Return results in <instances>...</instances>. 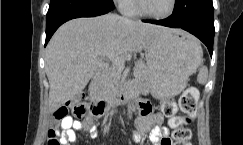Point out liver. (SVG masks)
I'll return each mask as SVG.
<instances>
[{"label":"liver","mask_w":243,"mask_h":145,"mask_svg":"<svg viewBox=\"0 0 243 145\" xmlns=\"http://www.w3.org/2000/svg\"><path fill=\"white\" fill-rule=\"evenodd\" d=\"M171 30L114 14L77 18L63 24L46 48L50 111H56L86 87L101 62L98 53L124 56L141 51L153 36Z\"/></svg>","instance_id":"1"}]
</instances>
